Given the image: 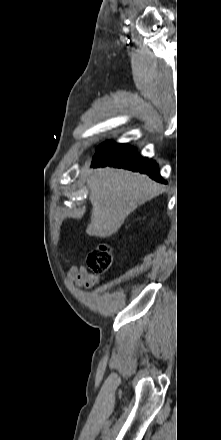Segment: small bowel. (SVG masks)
I'll return each instance as SVG.
<instances>
[{"instance_id":"c3829d8e","label":"small bowel","mask_w":221,"mask_h":440,"mask_svg":"<svg viewBox=\"0 0 221 440\" xmlns=\"http://www.w3.org/2000/svg\"><path fill=\"white\" fill-rule=\"evenodd\" d=\"M67 277L69 281H74L78 288L91 289L97 283L96 277L89 274L83 266H72Z\"/></svg>"}]
</instances>
